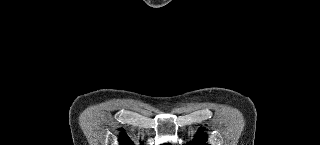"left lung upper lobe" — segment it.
Here are the masks:
<instances>
[{"instance_id":"5c2ea615","label":"left lung upper lobe","mask_w":320,"mask_h":145,"mask_svg":"<svg viewBox=\"0 0 320 145\" xmlns=\"http://www.w3.org/2000/svg\"><path fill=\"white\" fill-rule=\"evenodd\" d=\"M206 142V136L202 135V129L199 130L196 139L193 140L192 143H190L189 145H205Z\"/></svg>"}]
</instances>
